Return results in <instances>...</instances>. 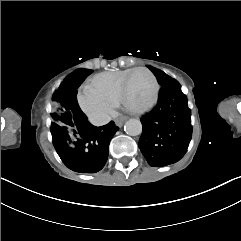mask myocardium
<instances>
[{
  "label": "myocardium",
  "mask_w": 241,
  "mask_h": 241,
  "mask_svg": "<svg viewBox=\"0 0 241 241\" xmlns=\"http://www.w3.org/2000/svg\"><path fill=\"white\" fill-rule=\"evenodd\" d=\"M142 72H145L147 75H149V77L151 78V80H152V90H153V92H152V100H151V102H156V98H157V96H158V94H157V92H158V90H159V81H158V79H156L157 77H156V75L154 74V72H152V70H146V69H142V68H137V69H135V71H133L132 73H130V75L128 74H126V75H124L123 76V78H122V90H121V94H122V100H127V94H128V91H126L125 90V88H124V85H125V83L126 82H128L129 80H131V78L133 79V77L134 76H136L137 74H139V73H142ZM148 103V105H146V107H145V109H143V114H148V112H149V110H151V108H153V103Z\"/></svg>",
  "instance_id": "obj_1"
}]
</instances>
